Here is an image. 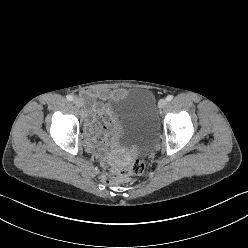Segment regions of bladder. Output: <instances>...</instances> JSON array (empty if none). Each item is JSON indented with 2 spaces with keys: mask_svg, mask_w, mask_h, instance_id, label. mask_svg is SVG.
I'll list each match as a JSON object with an SVG mask.
<instances>
[{
  "mask_svg": "<svg viewBox=\"0 0 248 248\" xmlns=\"http://www.w3.org/2000/svg\"><path fill=\"white\" fill-rule=\"evenodd\" d=\"M116 122L117 141L139 152L150 151L158 139L154 117V97L150 90L138 88L129 91L110 104Z\"/></svg>",
  "mask_w": 248,
  "mask_h": 248,
  "instance_id": "obj_1",
  "label": "bladder"
}]
</instances>
